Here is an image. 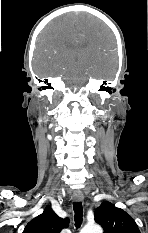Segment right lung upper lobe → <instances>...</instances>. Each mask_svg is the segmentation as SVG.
<instances>
[{
	"instance_id": "right-lung-upper-lobe-1",
	"label": "right lung upper lobe",
	"mask_w": 148,
	"mask_h": 233,
	"mask_svg": "<svg viewBox=\"0 0 148 233\" xmlns=\"http://www.w3.org/2000/svg\"><path fill=\"white\" fill-rule=\"evenodd\" d=\"M69 225L68 218H60L47 206L43 213L31 220L25 227L23 233H60Z\"/></svg>"
}]
</instances>
